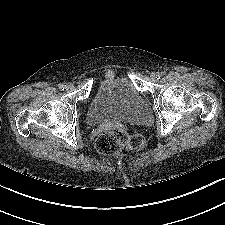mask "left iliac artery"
<instances>
[{
	"instance_id": "44dca946",
	"label": "left iliac artery",
	"mask_w": 225,
	"mask_h": 225,
	"mask_svg": "<svg viewBox=\"0 0 225 225\" xmlns=\"http://www.w3.org/2000/svg\"><path fill=\"white\" fill-rule=\"evenodd\" d=\"M163 75H165V71H162V72L160 73V77L163 76ZM160 77H159V78H160Z\"/></svg>"
}]
</instances>
